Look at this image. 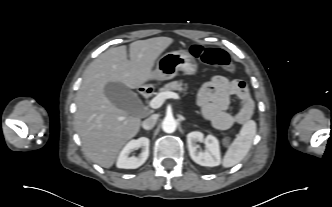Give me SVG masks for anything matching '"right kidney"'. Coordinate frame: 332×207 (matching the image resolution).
Masks as SVG:
<instances>
[{
    "instance_id": "1",
    "label": "right kidney",
    "mask_w": 332,
    "mask_h": 207,
    "mask_svg": "<svg viewBox=\"0 0 332 207\" xmlns=\"http://www.w3.org/2000/svg\"><path fill=\"white\" fill-rule=\"evenodd\" d=\"M149 143L150 140L147 137H141L136 140H131L120 152L116 166L123 169H136L143 165L149 156ZM141 148V153L135 157H130V153Z\"/></svg>"
}]
</instances>
